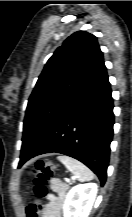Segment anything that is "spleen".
I'll return each mask as SVG.
<instances>
[{"label":"spleen","instance_id":"3e777b00","mask_svg":"<svg viewBox=\"0 0 132 217\" xmlns=\"http://www.w3.org/2000/svg\"><path fill=\"white\" fill-rule=\"evenodd\" d=\"M57 159L81 182L94 178L93 172L82 162L72 157L60 155Z\"/></svg>","mask_w":132,"mask_h":217}]
</instances>
